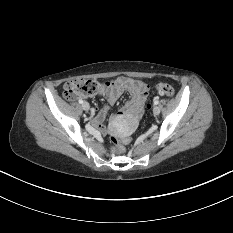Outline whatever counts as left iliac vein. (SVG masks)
I'll return each instance as SVG.
<instances>
[{
    "mask_svg": "<svg viewBox=\"0 0 233 233\" xmlns=\"http://www.w3.org/2000/svg\"><path fill=\"white\" fill-rule=\"evenodd\" d=\"M153 114H154L155 116H157V115L160 114V108H159L158 106H155V107L153 108Z\"/></svg>",
    "mask_w": 233,
    "mask_h": 233,
    "instance_id": "4c4485c4",
    "label": "left iliac vein"
}]
</instances>
